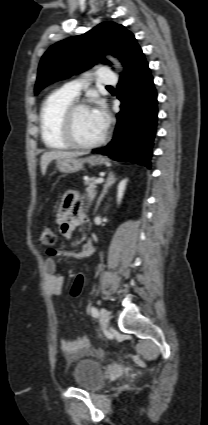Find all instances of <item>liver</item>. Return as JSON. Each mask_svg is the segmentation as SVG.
<instances>
[{"label": "liver", "instance_id": "6515ba94", "mask_svg": "<svg viewBox=\"0 0 208 425\" xmlns=\"http://www.w3.org/2000/svg\"><path fill=\"white\" fill-rule=\"evenodd\" d=\"M86 152H79V151H50L46 152L41 157V173L42 175H45L47 166L49 163L55 159H63V158H76L78 156L85 155Z\"/></svg>", "mask_w": 208, "mask_h": 425}]
</instances>
